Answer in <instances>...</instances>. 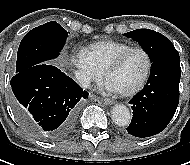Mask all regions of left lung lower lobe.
<instances>
[{
  "mask_svg": "<svg viewBox=\"0 0 190 165\" xmlns=\"http://www.w3.org/2000/svg\"><path fill=\"white\" fill-rule=\"evenodd\" d=\"M181 76L178 52L152 62L144 88L130 101L133 108L127 132L136 137H149L165 129L179 102Z\"/></svg>",
  "mask_w": 190,
  "mask_h": 165,
  "instance_id": "1",
  "label": "left lung lower lobe"
}]
</instances>
